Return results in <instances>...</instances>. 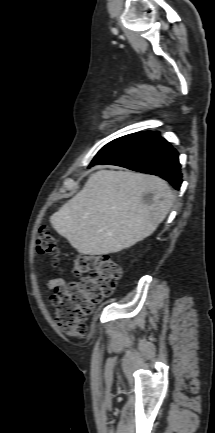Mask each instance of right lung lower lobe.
<instances>
[{"mask_svg": "<svg viewBox=\"0 0 215 433\" xmlns=\"http://www.w3.org/2000/svg\"><path fill=\"white\" fill-rule=\"evenodd\" d=\"M98 164L117 165L157 175L177 190L182 184L178 152L158 132H140L126 147Z\"/></svg>", "mask_w": 215, "mask_h": 433, "instance_id": "98d812e1", "label": "right lung lower lobe"}]
</instances>
